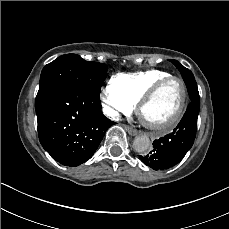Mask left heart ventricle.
Listing matches in <instances>:
<instances>
[{"mask_svg":"<svg viewBox=\"0 0 229 229\" xmlns=\"http://www.w3.org/2000/svg\"><path fill=\"white\" fill-rule=\"evenodd\" d=\"M180 84L182 83L179 80L170 81L149 100L143 110L144 118L148 123L156 126L166 125V121L177 110Z\"/></svg>","mask_w":229,"mask_h":229,"instance_id":"obj_1","label":"left heart ventricle"}]
</instances>
